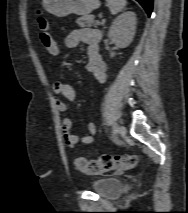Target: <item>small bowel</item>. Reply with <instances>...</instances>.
Masks as SVG:
<instances>
[{
    "label": "small bowel",
    "instance_id": "c3829d8e",
    "mask_svg": "<svg viewBox=\"0 0 188 213\" xmlns=\"http://www.w3.org/2000/svg\"><path fill=\"white\" fill-rule=\"evenodd\" d=\"M100 40L101 34L99 30L93 28H77L65 38L64 45L66 48L72 49L81 43L86 44L88 56L86 69L100 84H104L106 82V64L100 55ZM61 98L68 101H75L77 93L74 87L63 82H56L53 86L55 107L60 113L65 114L67 107ZM61 127L64 143L69 148H73L78 143L87 145L94 141V134L96 132V125L94 123L88 124V134L81 137L72 132V122L67 116L63 117Z\"/></svg>",
    "mask_w": 188,
    "mask_h": 213
}]
</instances>
